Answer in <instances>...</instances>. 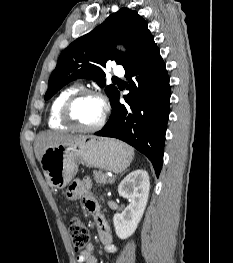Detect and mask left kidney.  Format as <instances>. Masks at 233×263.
<instances>
[{
	"label": "left kidney",
	"mask_w": 233,
	"mask_h": 263,
	"mask_svg": "<svg viewBox=\"0 0 233 263\" xmlns=\"http://www.w3.org/2000/svg\"><path fill=\"white\" fill-rule=\"evenodd\" d=\"M149 190V175L142 169L131 172L119 184V195L130 202L122 213L113 217L115 232L120 239H126L135 232L144 214Z\"/></svg>",
	"instance_id": "5707ae66"
}]
</instances>
